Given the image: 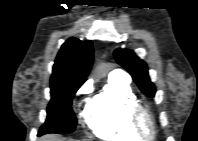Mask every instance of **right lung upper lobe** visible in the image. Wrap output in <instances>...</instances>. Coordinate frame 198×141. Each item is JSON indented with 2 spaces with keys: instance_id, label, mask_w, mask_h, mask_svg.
<instances>
[{
  "instance_id": "obj_1",
  "label": "right lung upper lobe",
  "mask_w": 198,
  "mask_h": 141,
  "mask_svg": "<svg viewBox=\"0 0 198 141\" xmlns=\"http://www.w3.org/2000/svg\"><path fill=\"white\" fill-rule=\"evenodd\" d=\"M92 62V42L69 38L57 55L51 82H85Z\"/></svg>"
}]
</instances>
